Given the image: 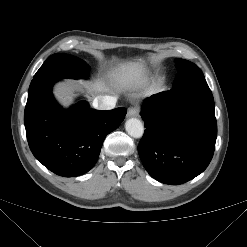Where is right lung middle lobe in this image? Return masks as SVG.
<instances>
[{
	"label": "right lung middle lobe",
	"mask_w": 247,
	"mask_h": 247,
	"mask_svg": "<svg viewBox=\"0 0 247 247\" xmlns=\"http://www.w3.org/2000/svg\"><path fill=\"white\" fill-rule=\"evenodd\" d=\"M52 75L58 78H87L89 66L68 54H53L40 67L34 78Z\"/></svg>",
	"instance_id": "dd1d6c3e"
}]
</instances>
